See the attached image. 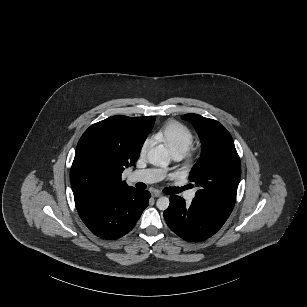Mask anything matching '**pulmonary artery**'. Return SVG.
<instances>
[{"instance_id": "obj_1", "label": "pulmonary artery", "mask_w": 307, "mask_h": 307, "mask_svg": "<svg viewBox=\"0 0 307 307\" xmlns=\"http://www.w3.org/2000/svg\"><path fill=\"white\" fill-rule=\"evenodd\" d=\"M175 157H180L179 154H174ZM164 176V173L158 169H148L142 171H131L129 173V179L134 180L136 177L142 183H156L161 180ZM175 186L179 191V194L182 198L187 199L191 196L192 191L188 186V183L185 179L180 178L176 181Z\"/></svg>"}]
</instances>
